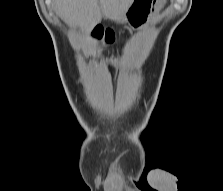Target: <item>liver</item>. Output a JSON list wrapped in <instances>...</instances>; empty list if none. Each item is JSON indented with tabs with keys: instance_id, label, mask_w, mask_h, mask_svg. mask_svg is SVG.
Listing matches in <instances>:
<instances>
[{
	"instance_id": "6515ba94",
	"label": "liver",
	"mask_w": 223,
	"mask_h": 191,
	"mask_svg": "<svg viewBox=\"0 0 223 191\" xmlns=\"http://www.w3.org/2000/svg\"><path fill=\"white\" fill-rule=\"evenodd\" d=\"M56 13L69 25L90 31L102 15L118 21L133 0H53ZM100 3V5H99Z\"/></svg>"
}]
</instances>
